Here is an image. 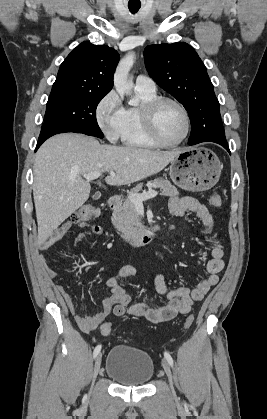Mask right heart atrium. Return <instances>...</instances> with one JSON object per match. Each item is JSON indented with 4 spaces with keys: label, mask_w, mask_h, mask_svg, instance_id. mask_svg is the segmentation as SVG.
Segmentation results:
<instances>
[{
    "label": "right heart atrium",
    "mask_w": 267,
    "mask_h": 419,
    "mask_svg": "<svg viewBox=\"0 0 267 419\" xmlns=\"http://www.w3.org/2000/svg\"><path fill=\"white\" fill-rule=\"evenodd\" d=\"M123 111L121 99L114 91H109L98 102L95 108V118L100 130L112 142L121 136Z\"/></svg>",
    "instance_id": "right-heart-atrium-1"
}]
</instances>
